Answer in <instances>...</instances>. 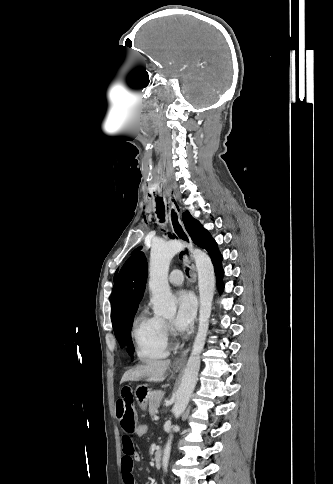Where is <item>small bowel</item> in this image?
<instances>
[{"label":"small bowel","mask_w":333,"mask_h":484,"mask_svg":"<svg viewBox=\"0 0 333 484\" xmlns=\"http://www.w3.org/2000/svg\"><path fill=\"white\" fill-rule=\"evenodd\" d=\"M116 419L123 431L121 442L123 445V457L121 471L124 484H135L133 467L134 462L140 460V456L134 448L133 436L138 424V414L134 401V391L129 385H124L119 392L115 403Z\"/></svg>","instance_id":"obj_1"}]
</instances>
